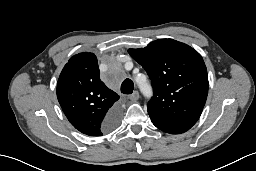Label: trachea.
<instances>
[{"mask_svg": "<svg viewBox=\"0 0 256 171\" xmlns=\"http://www.w3.org/2000/svg\"><path fill=\"white\" fill-rule=\"evenodd\" d=\"M134 89V83L130 79H125L121 84V92L123 94H131Z\"/></svg>", "mask_w": 256, "mask_h": 171, "instance_id": "trachea-1", "label": "trachea"}]
</instances>
